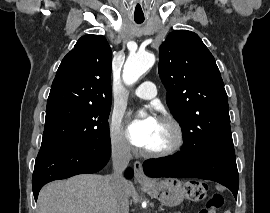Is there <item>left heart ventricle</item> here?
Returning <instances> with one entry per match:
<instances>
[{
    "label": "left heart ventricle",
    "instance_id": "1",
    "mask_svg": "<svg viewBox=\"0 0 270 213\" xmlns=\"http://www.w3.org/2000/svg\"><path fill=\"white\" fill-rule=\"evenodd\" d=\"M172 128L160 121H158L155 132L146 147V150H158L168 146L173 140Z\"/></svg>",
    "mask_w": 270,
    "mask_h": 213
}]
</instances>
